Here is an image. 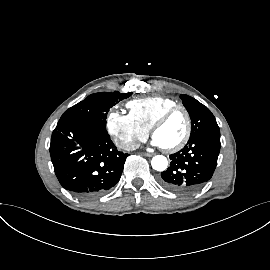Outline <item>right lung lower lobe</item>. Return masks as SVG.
<instances>
[{"label": "right lung lower lobe", "mask_w": 270, "mask_h": 270, "mask_svg": "<svg viewBox=\"0 0 270 270\" xmlns=\"http://www.w3.org/2000/svg\"><path fill=\"white\" fill-rule=\"evenodd\" d=\"M50 155L62 187L82 198L96 197L112 188L128 156L116 149L106 129L84 121L57 124Z\"/></svg>", "instance_id": "right-lung-lower-lobe-1"}]
</instances>
